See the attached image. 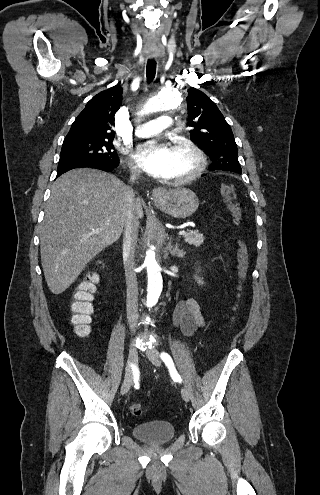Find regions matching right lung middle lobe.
I'll use <instances>...</instances> for the list:
<instances>
[{
	"label": "right lung middle lobe",
	"mask_w": 320,
	"mask_h": 495,
	"mask_svg": "<svg viewBox=\"0 0 320 495\" xmlns=\"http://www.w3.org/2000/svg\"><path fill=\"white\" fill-rule=\"evenodd\" d=\"M112 141L101 139L64 140L58 170L92 162L118 163L119 157L114 150Z\"/></svg>",
	"instance_id": "obj_1"
}]
</instances>
